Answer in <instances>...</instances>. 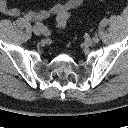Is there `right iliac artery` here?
<instances>
[{
    "mask_svg": "<svg viewBox=\"0 0 128 128\" xmlns=\"http://www.w3.org/2000/svg\"><path fill=\"white\" fill-rule=\"evenodd\" d=\"M40 26H41V24H40ZM40 26H39V24H38V27L40 28ZM40 29H42V31L44 32V33H46V28H40Z\"/></svg>",
    "mask_w": 128,
    "mask_h": 128,
    "instance_id": "right-iliac-artery-1",
    "label": "right iliac artery"
}]
</instances>
